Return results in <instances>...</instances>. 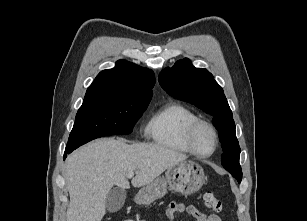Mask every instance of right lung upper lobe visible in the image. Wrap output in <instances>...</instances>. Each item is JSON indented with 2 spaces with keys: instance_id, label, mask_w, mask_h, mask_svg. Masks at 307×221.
I'll return each instance as SVG.
<instances>
[{
  "instance_id": "right-lung-upper-lobe-1",
  "label": "right lung upper lobe",
  "mask_w": 307,
  "mask_h": 221,
  "mask_svg": "<svg viewBox=\"0 0 307 221\" xmlns=\"http://www.w3.org/2000/svg\"><path fill=\"white\" fill-rule=\"evenodd\" d=\"M155 84L154 73L126 60L112 69L101 71L87 89L83 102L107 97H132L150 100Z\"/></svg>"
}]
</instances>
